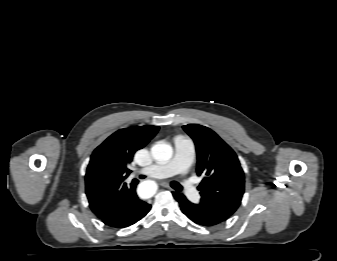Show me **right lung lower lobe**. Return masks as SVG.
<instances>
[{"label":"right lung lower lobe","instance_id":"obj_1","mask_svg":"<svg viewBox=\"0 0 337 261\" xmlns=\"http://www.w3.org/2000/svg\"><path fill=\"white\" fill-rule=\"evenodd\" d=\"M135 188L136 185L130 187L116 206L100 218L105 225L118 229L125 228L135 224L149 212L151 205L137 197Z\"/></svg>","mask_w":337,"mask_h":261}]
</instances>
